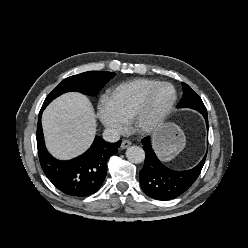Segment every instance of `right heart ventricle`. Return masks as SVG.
Listing matches in <instances>:
<instances>
[{"label": "right heart ventricle", "instance_id": "1", "mask_svg": "<svg viewBox=\"0 0 248 248\" xmlns=\"http://www.w3.org/2000/svg\"><path fill=\"white\" fill-rule=\"evenodd\" d=\"M158 83L159 81L154 79L137 78L123 82L110 90L109 97L126 123L131 121L135 109L148 91Z\"/></svg>", "mask_w": 248, "mask_h": 248}]
</instances>
